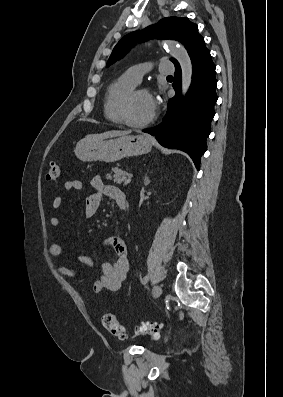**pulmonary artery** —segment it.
Listing matches in <instances>:
<instances>
[{"label":"pulmonary artery","mask_w":283,"mask_h":397,"mask_svg":"<svg viewBox=\"0 0 283 397\" xmlns=\"http://www.w3.org/2000/svg\"><path fill=\"white\" fill-rule=\"evenodd\" d=\"M148 69L149 67L145 64L134 65L127 69L125 75L134 83L138 84L141 82L143 75ZM158 70L162 74H172L174 72V67L171 62L162 60L159 63Z\"/></svg>","instance_id":"pulmonary-artery-1"}]
</instances>
